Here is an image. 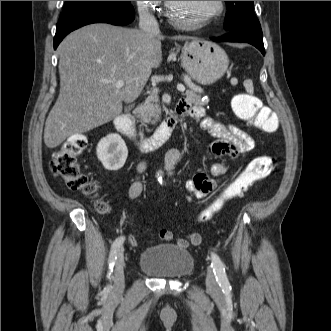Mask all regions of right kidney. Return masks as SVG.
Instances as JSON below:
<instances>
[{
    "instance_id": "1",
    "label": "right kidney",
    "mask_w": 331,
    "mask_h": 331,
    "mask_svg": "<svg viewBox=\"0 0 331 331\" xmlns=\"http://www.w3.org/2000/svg\"><path fill=\"white\" fill-rule=\"evenodd\" d=\"M128 149L119 134H109L97 146V157L107 170H119L125 164Z\"/></svg>"
}]
</instances>
